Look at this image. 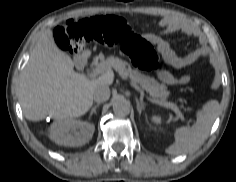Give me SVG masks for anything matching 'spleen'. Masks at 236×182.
Here are the masks:
<instances>
[{
	"label": "spleen",
	"instance_id": "spleen-1",
	"mask_svg": "<svg viewBox=\"0 0 236 182\" xmlns=\"http://www.w3.org/2000/svg\"><path fill=\"white\" fill-rule=\"evenodd\" d=\"M218 109L216 100L209 101L201 111L197 113V120L191 127L176 129L175 142L166 149L171 155H180L198 149L207 138L210 129L215 121ZM151 121L161 124V117L153 116Z\"/></svg>",
	"mask_w": 236,
	"mask_h": 182
}]
</instances>
